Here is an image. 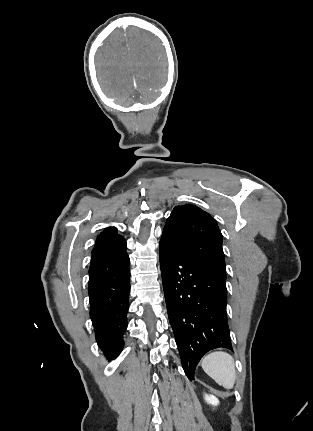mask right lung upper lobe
<instances>
[{
  "mask_svg": "<svg viewBox=\"0 0 313 431\" xmlns=\"http://www.w3.org/2000/svg\"><path fill=\"white\" fill-rule=\"evenodd\" d=\"M120 239L123 238L117 234V229L115 227L105 228L104 231L101 232L100 235L97 237L92 253Z\"/></svg>",
  "mask_w": 313,
  "mask_h": 431,
  "instance_id": "right-lung-upper-lobe-1",
  "label": "right lung upper lobe"
}]
</instances>
